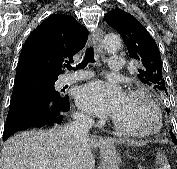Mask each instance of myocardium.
I'll use <instances>...</instances> for the list:
<instances>
[{
  "label": "myocardium",
  "instance_id": "obj_1",
  "mask_svg": "<svg viewBox=\"0 0 177 169\" xmlns=\"http://www.w3.org/2000/svg\"><path fill=\"white\" fill-rule=\"evenodd\" d=\"M125 96L140 98L147 104V106L151 109L154 115V126L147 130L133 131L123 127L114 119H112V125L115 128V130L125 136L140 138L150 137L159 133L160 130L162 129V113L157 104L152 100L150 95L146 91L141 89H130L126 92Z\"/></svg>",
  "mask_w": 177,
  "mask_h": 169
}]
</instances>
